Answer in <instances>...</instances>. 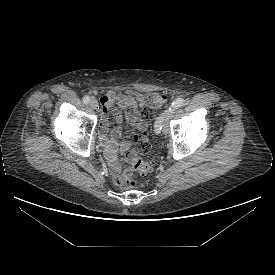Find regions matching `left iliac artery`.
Wrapping results in <instances>:
<instances>
[{"instance_id": "obj_1", "label": "left iliac artery", "mask_w": 275, "mask_h": 275, "mask_svg": "<svg viewBox=\"0 0 275 275\" xmlns=\"http://www.w3.org/2000/svg\"><path fill=\"white\" fill-rule=\"evenodd\" d=\"M184 105V99L179 97L175 101H173L172 106L170 107V110L179 109ZM155 132L160 133L162 130V116L158 117L155 122Z\"/></svg>"}]
</instances>
